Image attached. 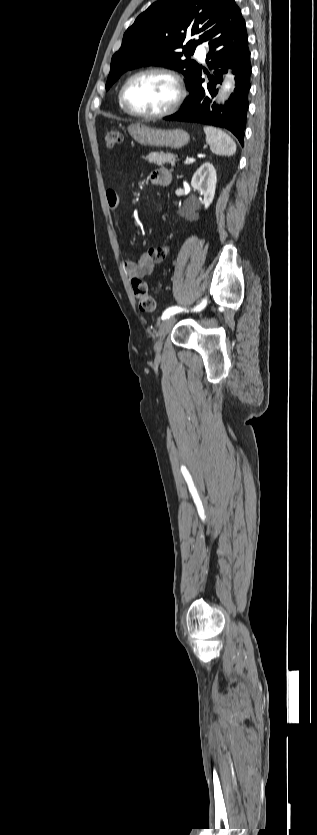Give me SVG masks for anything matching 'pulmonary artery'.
Instances as JSON below:
<instances>
[{"label":"pulmonary artery","mask_w":317,"mask_h":835,"mask_svg":"<svg viewBox=\"0 0 317 835\" xmlns=\"http://www.w3.org/2000/svg\"><path fill=\"white\" fill-rule=\"evenodd\" d=\"M195 56L200 60L204 61L206 57V47L203 44H199L195 50Z\"/></svg>","instance_id":"e3ab8cb5"}]
</instances>
